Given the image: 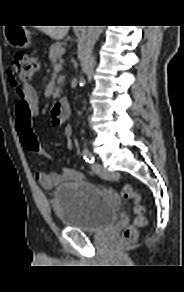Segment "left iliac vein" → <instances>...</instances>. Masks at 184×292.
I'll return each mask as SVG.
<instances>
[{
    "instance_id": "left-iliac-vein-1",
    "label": "left iliac vein",
    "mask_w": 184,
    "mask_h": 292,
    "mask_svg": "<svg viewBox=\"0 0 184 292\" xmlns=\"http://www.w3.org/2000/svg\"><path fill=\"white\" fill-rule=\"evenodd\" d=\"M92 170L103 179H112L114 177L113 173L109 172L105 167L97 162L92 164Z\"/></svg>"
}]
</instances>
